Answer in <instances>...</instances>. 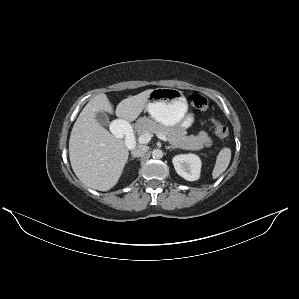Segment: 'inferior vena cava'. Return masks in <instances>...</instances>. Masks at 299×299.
Wrapping results in <instances>:
<instances>
[{
  "label": "inferior vena cava",
  "mask_w": 299,
  "mask_h": 299,
  "mask_svg": "<svg viewBox=\"0 0 299 299\" xmlns=\"http://www.w3.org/2000/svg\"><path fill=\"white\" fill-rule=\"evenodd\" d=\"M148 150V146L145 145H138L134 149H132L131 153L135 157L143 156Z\"/></svg>",
  "instance_id": "602c4592"
}]
</instances>
